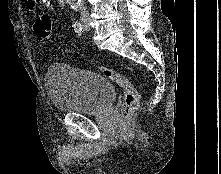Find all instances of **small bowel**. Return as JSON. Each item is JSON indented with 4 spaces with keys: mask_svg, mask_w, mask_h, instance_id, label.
Returning a JSON list of instances; mask_svg holds the SVG:
<instances>
[{
    "mask_svg": "<svg viewBox=\"0 0 221 174\" xmlns=\"http://www.w3.org/2000/svg\"><path fill=\"white\" fill-rule=\"evenodd\" d=\"M26 7L30 11H35L39 6L46 10L54 11V6L51 0H24Z\"/></svg>",
    "mask_w": 221,
    "mask_h": 174,
    "instance_id": "c3829d8e",
    "label": "small bowel"
}]
</instances>
